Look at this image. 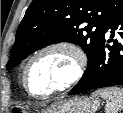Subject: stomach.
I'll return each instance as SVG.
<instances>
[{"instance_id":"obj_1","label":"stomach","mask_w":123,"mask_h":113,"mask_svg":"<svg viewBox=\"0 0 123 113\" xmlns=\"http://www.w3.org/2000/svg\"><path fill=\"white\" fill-rule=\"evenodd\" d=\"M100 102L94 97H73L61 101L45 110L43 113H96Z\"/></svg>"}]
</instances>
